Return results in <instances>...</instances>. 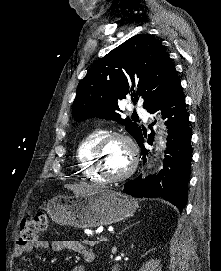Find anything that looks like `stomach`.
Listing matches in <instances>:
<instances>
[{"label":"stomach","instance_id":"stomach-1","mask_svg":"<svg viewBox=\"0 0 221 271\" xmlns=\"http://www.w3.org/2000/svg\"><path fill=\"white\" fill-rule=\"evenodd\" d=\"M137 207L134 197L114 189H96L74 197H51V202H47L53 221L82 229L116 223L133 215Z\"/></svg>","mask_w":221,"mask_h":271}]
</instances>
